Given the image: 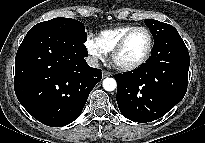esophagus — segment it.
I'll list each match as a JSON object with an SVG mask.
<instances>
[{"label":"esophagus","instance_id":"1","mask_svg":"<svg viewBox=\"0 0 205 143\" xmlns=\"http://www.w3.org/2000/svg\"><path fill=\"white\" fill-rule=\"evenodd\" d=\"M102 75H103V77H108V76H111L112 74H111V72H108V71H106V70H103V71H102Z\"/></svg>","mask_w":205,"mask_h":143}]
</instances>
